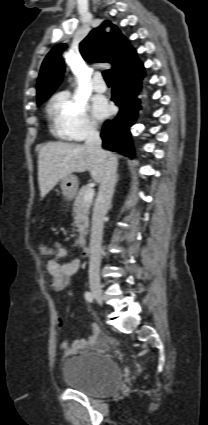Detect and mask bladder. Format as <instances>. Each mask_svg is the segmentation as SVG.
<instances>
[{
  "mask_svg": "<svg viewBox=\"0 0 208 425\" xmlns=\"http://www.w3.org/2000/svg\"><path fill=\"white\" fill-rule=\"evenodd\" d=\"M62 378L70 388L95 397L111 395L122 383L117 363L109 355L97 351L66 358L62 364Z\"/></svg>",
  "mask_w": 208,
  "mask_h": 425,
  "instance_id": "1",
  "label": "bladder"
}]
</instances>
